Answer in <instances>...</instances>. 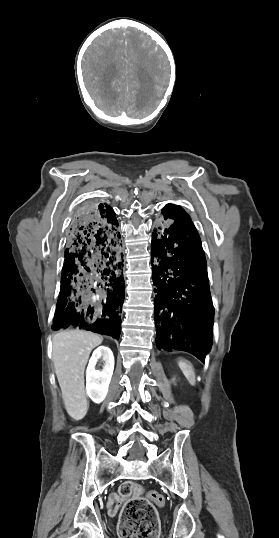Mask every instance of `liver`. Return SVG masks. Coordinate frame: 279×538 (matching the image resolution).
Wrapping results in <instances>:
<instances>
[{
	"label": "liver",
	"mask_w": 279,
	"mask_h": 538,
	"mask_svg": "<svg viewBox=\"0 0 279 538\" xmlns=\"http://www.w3.org/2000/svg\"><path fill=\"white\" fill-rule=\"evenodd\" d=\"M102 342V336L84 330H61L53 338L55 374L66 412L73 420H82L87 414L84 370L90 352Z\"/></svg>",
	"instance_id": "liver-1"
}]
</instances>
